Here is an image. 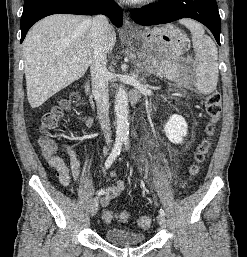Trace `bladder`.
Listing matches in <instances>:
<instances>
[{
    "label": "bladder",
    "instance_id": "1",
    "mask_svg": "<svg viewBox=\"0 0 247 257\" xmlns=\"http://www.w3.org/2000/svg\"><path fill=\"white\" fill-rule=\"evenodd\" d=\"M104 238L117 246L139 245L147 240V236L141 232H135L124 228L111 227L104 231Z\"/></svg>",
    "mask_w": 247,
    "mask_h": 257
}]
</instances>
